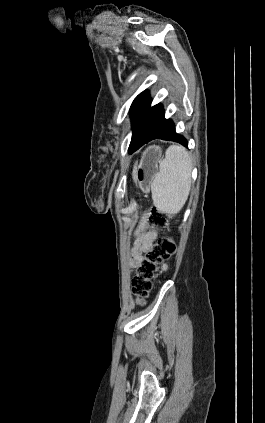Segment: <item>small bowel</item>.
<instances>
[{"label": "small bowel", "instance_id": "c3829d8e", "mask_svg": "<svg viewBox=\"0 0 265 423\" xmlns=\"http://www.w3.org/2000/svg\"><path fill=\"white\" fill-rule=\"evenodd\" d=\"M157 236L158 233L155 230L147 231L138 236L128 260L131 270L136 269L146 249L155 241Z\"/></svg>", "mask_w": 265, "mask_h": 423}]
</instances>
